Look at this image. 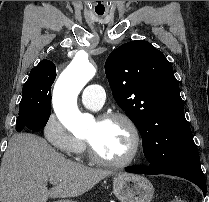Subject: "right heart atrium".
<instances>
[{"instance_id":"1","label":"right heart atrium","mask_w":209,"mask_h":202,"mask_svg":"<svg viewBox=\"0 0 209 202\" xmlns=\"http://www.w3.org/2000/svg\"><path fill=\"white\" fill-rule=\"evenodd\" d=\"M44 137L60 152L67 156H74L84 146L81 138L70 133L55 115H50L44 127Z\"/></svg>"}]
</instances>
